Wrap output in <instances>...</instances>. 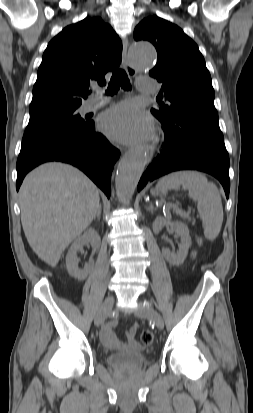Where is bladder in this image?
Here are the masks:
<instances>
[{
	"instance_id": "obj_1",
	"label": "bladder",
	"mask_w": 253,
	"mask_h": 413,
	"mask_svg": "<svg viewBox=\"0 0 253 413\" xmlns=\"http://www.w3.org/2000/svg\"><path fill=\"white\" fill-rule=\"evenodd\" d=\"M146 362V356L139 347L112 353L107 356V363L114 368L134 369L142 366Z\"/></svg>"
}]
</instances>
